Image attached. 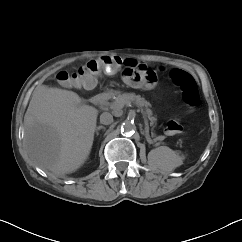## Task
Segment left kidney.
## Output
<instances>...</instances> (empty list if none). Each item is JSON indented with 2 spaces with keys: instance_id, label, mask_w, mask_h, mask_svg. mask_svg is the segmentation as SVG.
I'll return each mask as SVG.
<instances>
[{
  "instance_id": "obj_1",
  "label": "left kidney",
  "mask_w": 242,
  "mask_h": 242,
  "mask_svg": "<svg viewBox=\"0 0 242 242\" xmlns=\"http://www.w3.org/2000/svg\"><path fill=\"white\" fill-rule=\"evenodd\" d=\"M157 149L151 151V154H157ZM181 164H182V158L179 157L176 165H181Z\"/></svg>"
}]
</instances>
